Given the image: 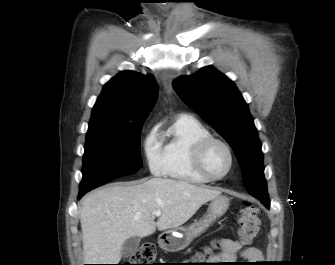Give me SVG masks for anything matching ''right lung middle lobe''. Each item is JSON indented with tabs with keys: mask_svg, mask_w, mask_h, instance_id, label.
<instances>
[{
	"mask_svg": "<svg viewBox=\"0 0 335 265\" xmlns=\"http://www.w3.org/2000/svg\"><path fill=\"white\" fill-rule=\"evenodd\" d=\"M142 125L143 123L133 125L121 133L106 131L87 134L80 192H87L115 178L134 174L142 167Z\"/></svg>",
	"mask_w": 335,
	"mask_h": 265,
	"instance_id": "obj_1",
	"label": "right lung middle lobe"
}]
</instances>
